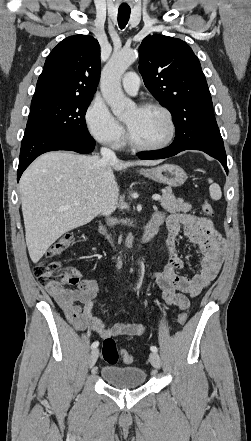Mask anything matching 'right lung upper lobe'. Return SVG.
<instances>
[{
	"label": "right lung upper lobe",
	"mask_w": 251,
	"mask_h": 441,
	"mask_svg": "<svg viewBox=\"0 0 251 441\" xmlns=\"http://www.w3.org/2000/svg\"><path fill=\"white\" fill-rule=\"evenodd\" d=\"M100 71L98 41L88 35L67 37L48 55L32 101L52 97H93Z\"/></svg>",
	"instance_id": "1"
}]
</instances>
